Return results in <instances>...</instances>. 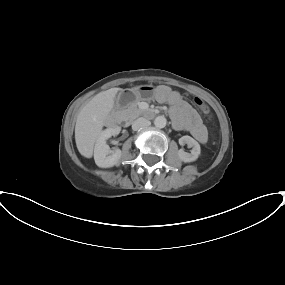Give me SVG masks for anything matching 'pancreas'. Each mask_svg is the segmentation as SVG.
I'll list each match as a JSON object with an SVG mask.
<instances>
[{"label": "pancreas", "instance_id": "pancreas-1", "mask_svg": "<svg viewBox=\"0 0 285 285\" xmlns=\"http://www.w3.org/2000/svg\"><path fill=\"white\" fill-rule=\"evenodd\" d=\"M124 116L126 120H134L135 118L139 117L143 111L138 108L137 103H132L127 107V109L123 110Z\"/></svg>", "mask_w": 285, "mask_h": 285}]
</instances>
